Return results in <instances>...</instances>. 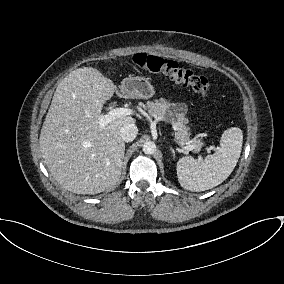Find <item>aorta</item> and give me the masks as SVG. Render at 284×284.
<instances>
[{"label":"aorta","instance_id":"obj_1","mask_svg":"<svg viewBox=\"0 0 284 284\" xmlns=\"http://www.w3.org/2000/svg\"><path fill=\"white\" fill-rule=\"evenodd\" d=\"M143 152L147 155H152L156 152V144L153 141H147L143 144Z\"/></svg>","mask_w":284,"mask_h":284}]
</instances>
